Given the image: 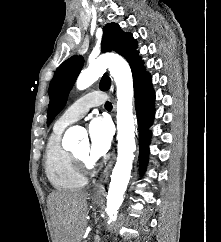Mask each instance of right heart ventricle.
<instances>
[{"label":"right heart ventricle","instance_id":"right-heart-ventricle-1","mask_svg":"<svg viewBox=\"0 0 221 242\" xmlns=\"http://www.w3.org/2000/svg\"><path fill=\"white\" fill-rule=\"evenodd\" d=\"M63 128L54 126L47 141L44 168L50 184L57 190H76L86 184L84 172L78 167L73 154L60 144Z\"/></svg>","mask_w":221,"mask_h":242}]
</instances>
